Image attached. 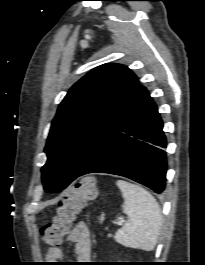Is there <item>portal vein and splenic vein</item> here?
Returning <instances> with one entry per match:
<instances>
[{
    "label": "portal vein and splenic vein",
    "mask_w": 205,
    "mask_h": 265,
    "mask_svg": "<svg viewBox=\"0 0 205 265\" xmlns=\"http://www.w3.org/2000/svg\"><path fill=\"white\" fill-rule=\"evenodd\" d=\"M124 222H125V220H124L123 218H120V219L116 222V224H117V225H122Z\"/></svg>",
    "instance_id": "18ae733b"
}]
</instances>
